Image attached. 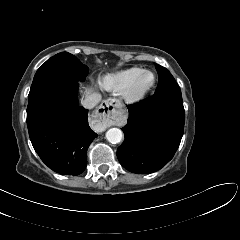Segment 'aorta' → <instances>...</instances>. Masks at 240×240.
Wrapping results in <instances>:
<instances>
[{
	"mask_svg": "<svg viewBox=\"0 0 240 240\" xmlns=\"http://www.w3.org/2000/svg\"><path fill=\"white\" fill-rule=\"evenodd\" d=\"M123 133L118 128H111L106 132V139L112 143L117 144L122 141Z\"/></svg>",
	"mask_w": 240,
	"mask_h": 240,
	"instance_id": "762f6f07",
	"label": "aorta"
}]
</instances>
